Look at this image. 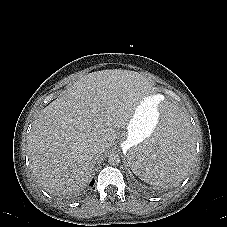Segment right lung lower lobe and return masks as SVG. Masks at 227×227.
<instances>
[{"mask_svg":"<svg viewBox=\"0 0 227 227\" xmlns=\"http://www.w3.org/2000/svg\"><path fill=\"white\" fill-rule=\"evenodd\" d=\"M94 181H95V180L93 179L92 182L90 183L91 186L94 184Z\"/></svg>","mask_w":227,"mask_h":227,"instance_id":"right-lung-lower-lobe-1","label":"right lung lower lobe"}]
</instances>
